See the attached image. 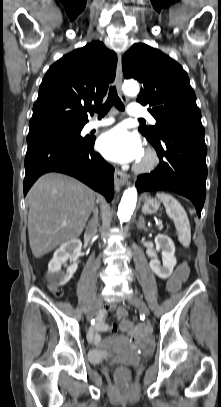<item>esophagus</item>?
I'll return each mask as SVG.
<instances>
[{"label":"esophagus","mask_w":221,"mask_h":407,"mask_svg":"<svg viewBox=\"0 0 221 407\" xmlns=\"http://www.w3.org/2000/svg\"><path fill=\"white\" fill-rule=\"evenodd\" d=\"M122 79H123V72H122V63H121V55H118V63H117V73H116V86L119 93L120 98L123 102L127 103L128 98L122 92ZM128 180V175L120 170L119 168L115 169L114 175V183L116 186H123Z\"/></svg>","instance_id":"esophagus-1"}]
</instances>
